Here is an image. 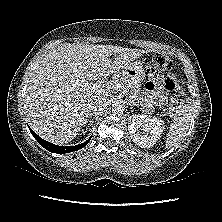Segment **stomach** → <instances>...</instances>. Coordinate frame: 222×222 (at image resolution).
Wrapping results in <instances>:
<instances>
[{
    "mask_svg": "<svg viewBox=\"0 0 222 222\" xmlns=\"http://www.w3.org/2000/svg\"><path fill=\"white\" fill-rule=\"evenodd\" d=\"M122 77L138 85L145 78V69L140 62L128 64L122 71Z\"/></svg>",
    "mask_w": 222,
    "mask_h": 222,
    "instance_id": "obj_1",
    "label": "stomach"
}]
</instances>
